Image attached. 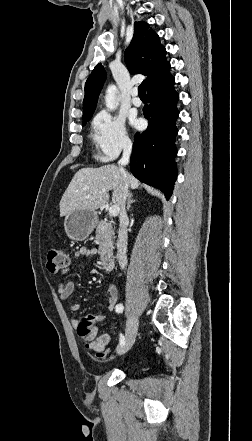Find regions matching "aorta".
Wrapping results in <instances>:
<instances>
[{
    "mask_svg": "<svg viewBox=\"0 0 252 441\" xmlns=\"http://www.w3.org/2000/svg\"><path fill=\"white\" fill-rule=\"evenodd\" d=\"M117 91L118 90L115 85H109L106 90L105 104L109 110H115L117 108V102H116Z\"/></svg>",
    "mask_w": 252,
    "mask_h": 441,
    "instance_id": "762f6f07",
    "label": "aorta"
}]
</instances>
